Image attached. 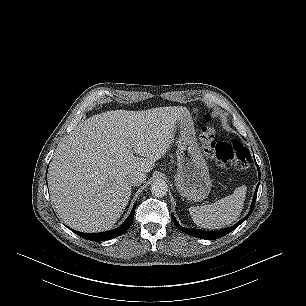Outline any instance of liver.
Returning <instances> with one entry per match:
<instances>
[{"mask_svg":"<svg viewBox=\"0 0 306 306\" xmlns=\"http://www.w3.org/2000/svg\"><path fill=\"white\" fill-rule=\"evenodd\" d=\"M189 115L169 106L107 111L81 122L58 144L48 172L60 218L81 232L111 229L130 199L129 175L150 172L170 148L177 122Z\"/></svg>","mask_w":306,"mask_h":306,"instance_id":"1","label":"liver"}]
</instances>
